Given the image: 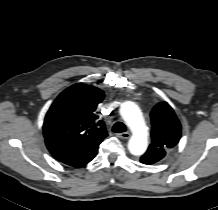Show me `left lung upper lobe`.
Returning a JSON list of instances; mask_svg holds the SVG:
<instances>
[{
  "instance_id": "left-lung-upper-lobe-1",
  "label": "left lung upper lobe",
  "mask_w": 218,
  "mask_h": 210,
  "mask_svg": "<svg viewBox=\"0 0 218 210\" xmlns=\"http://www.w3.org/2000/svg\"><path fill=\"white\" fill-rule=\"evenodd\" d=\"M152 143L141 157L144 164H153L165 157L181 137V124L167 102L158 103L151 111Z\"/></svg>"
}]
</instances>
